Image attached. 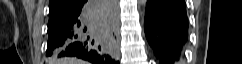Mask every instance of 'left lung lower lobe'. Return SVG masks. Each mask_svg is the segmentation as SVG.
<instances>
[{
	"mask_svg": "<svg viewBox=\"0 0 242 64\" xmlns=\"http://www.w3.org/2000/svg\"><path fill=\"white\" fill-rule=\"evenodd\" d=\"M144 30L160 64L179 61L188 39L184 0H148Z\"/></svg>",
	"mask_w": 242,
	"mask_h": 64,
	"instance_id": "1",
	"label": "left lung lower lobe"
}]
</instances>
